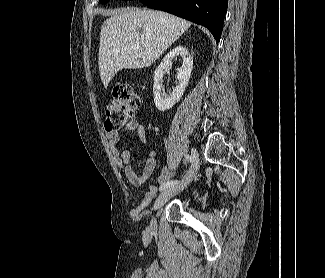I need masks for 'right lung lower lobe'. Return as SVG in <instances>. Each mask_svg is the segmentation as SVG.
<instances>
[{
    "instance_id": "1",
    "label": "right lung lower lobe",
    "mask_w": 325,
    "mask_h": 278,
    "mask_svg": "<svg viewBox=\"0 0 325 278\" xmlns=\"http://www.w3.org/2000/svg\"><path fill=\"white\" fill-rule=\"evenodd\" d=\"M149 8L162 10L205 26L218 43L221 37L227 0H140Z\"/></svg>"
}]
</instances>
